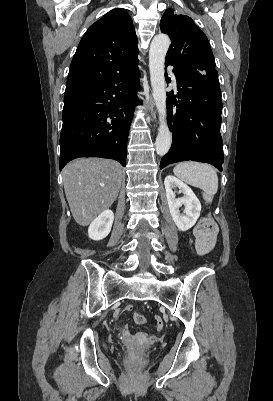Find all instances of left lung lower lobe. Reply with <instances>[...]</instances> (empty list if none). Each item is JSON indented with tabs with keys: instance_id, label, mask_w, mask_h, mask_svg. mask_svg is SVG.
Returning a JSON list of instances; mask_svg holds the SVG:
<instances>
[{
	"instance_id": "left-lung-lower-lobe-1",
	"label": "left lung lower lobe",
	"mask_w": 273,
	"mask_h": 401,
	"mask_svg": "<svg viewBox=\"0 0 273 401\" xmlns=\"http://www.w3.org/2000/svg\"><path fill=\"white\" fill-rule=\"evenodd\" d=\"M165 65L174 67L180 100L172 92L167 93L172 146L161 159L160 169L170 163L193 160L210 163L222 171V100L216 69L191 71L167 58Z\"/></svg>"
}]
</instances>
